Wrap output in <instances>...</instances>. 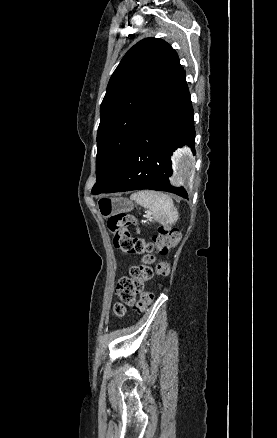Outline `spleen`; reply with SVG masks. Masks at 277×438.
I'll use <instances>...</instances> for the list:
<instances>
[{
    "label": "spleen",
    "instance_id": "3e777b00",
    "mask_svg": "<svg viewBox=\"0 0 277 438\" xmlns=\"http://www.w3.org/2000/svg\"><path fill=\"white\" fill-rule=\"evenodd\" d=\"M130 200H135L139 206L147 208L153 214V218L160 224H174L178 220V212L174 204L166 194L153 192V190H142L132 194Z\"/></svg>",
    "mask_w": 277,
    "mask_h": 438
}]
</instances>
